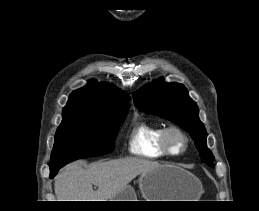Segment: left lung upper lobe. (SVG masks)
<instances>
[{
    "label": "left lung upper lobe",
    "mask_w": 259,
    "mask_h": 211,
    "mask_svg": "<svg viewBox=\"0 0 259 211\" xmlns=\"http://www.w3.org/2000/svg\"><path fill=\"white\" fill-rule=\"evenodd\" d=\"M134 103L143 111L166 118L187 131L195 142L202 160L213 167L214 156L206 145V129L199 119L197 104L179 83H162V79L144 86L133 95Z\"/></svg>",
    "instance_id": "1"
}]
</instances>
